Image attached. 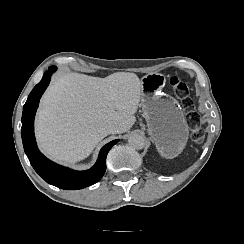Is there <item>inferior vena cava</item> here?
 Returning a JSON list of instances; mask_svg holds the SVG:
<instances>
[{
	"label": "inferior vena cava",
	"mask_w": 244,
	"mask_h": 244,
	"mask_svg": "<svg viewBox=\"0 0 244 244\" xmlns=\"http://www.w3.org/2000/svg\"><path fill=\"white\" fill-rule=\"evenodd\" d=\"M104 131H105V134L108 135V134H114L117 132V128L115 125L113 124H110V123H107L105 125V128H104Z\"/></svg>",
	"instance_id": "1"
}]
</instances>
